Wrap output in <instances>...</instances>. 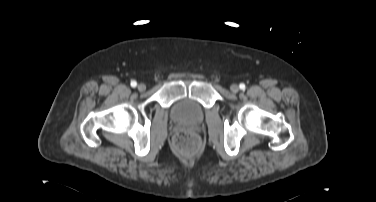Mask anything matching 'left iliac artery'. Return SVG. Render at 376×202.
<instances>
[{"instance_id":"1","label":"left iliac artery","mask_w":376,"mask_h":202,"mask_svg":"<svg viewBox=\"0 0 376 202\" xmlns=\"http://www.w3.org/2000/svg\"><path fill=\"white\" fill-rule=\"evenodd\" d=\"M239 87H240L241 90H245V88H246L244 83H241V84L239 85Z\"/></svg>"}]
</instances>
